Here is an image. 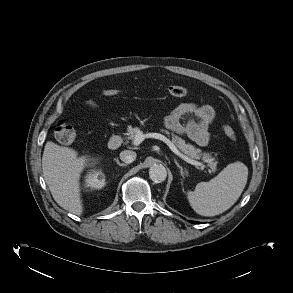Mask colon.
Here are the masks:
<instances>
[{
    "label": "colon",
    "instance_id": "colon-1",
    "mask_svg": "<svg viewBox=\"0 0 293 293\" xmlns=\"http://www.w3.org/2000/svg\"><path fill=\"white\" fill-rule=\"evenodd\" d=\"M166 92L173 97H184L188 94L187 89L182 86H170L166 89ZM103 93L106 96H115L122 93V91L116 89H107L104 90ZM223 131L229 139H231L232 141L236 140V133L230 124L225 123L223 125ZM54 133L56 139L62 144L72 143L76 136V131L74 127L65 121L58 122L55 127Z\"/></svg>",
    "mask_w": 293,
    "mask_h": 293
}]
</instances>
